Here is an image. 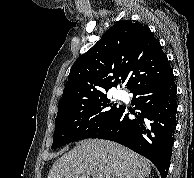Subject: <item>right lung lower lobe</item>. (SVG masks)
I'll use <instances>...</instances> for the list:
<instances>
[{
	"label": "right lung lower lobe",
	"mask_w": 194,
	"mask_h": 178,
	"mask_svg": "<svg viewBox=\"0 0 194 178\" xmlns=\"http://www.w3.org/2000/svg\"><path fill=\"white\" fill-rule=\"evenodd\" d=\"M176 86L173 71L159 81L133 91L136 119H129L124 107L87 138L120 143L149 159L166 178L176 128Z\"/></svg>",
	"instance_id": "98d812e1"
}]
</instances>
